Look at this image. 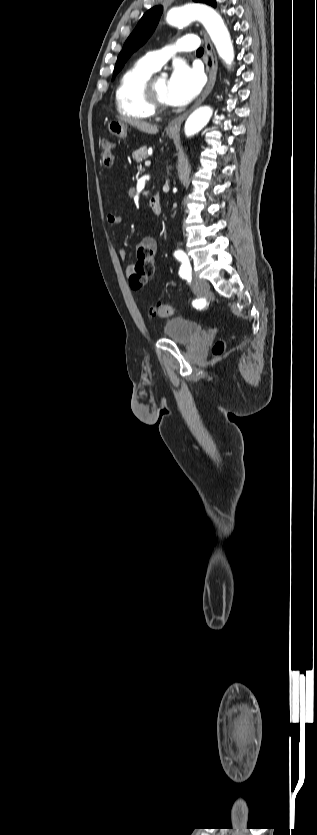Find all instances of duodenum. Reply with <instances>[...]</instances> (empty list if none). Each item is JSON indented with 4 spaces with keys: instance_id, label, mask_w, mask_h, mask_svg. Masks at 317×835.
Segmentation results:
<instances>
[{
    "instance_id": "duodenum-1",
    "label": "duodenum",
    "mask_w": 317,
    "mask_h": 835,
    "mask_svg": "<svg viewBox=\"0 0 317 835\" xmlns=\"http://www.w3.org/2000/svg\"><path fill=\"white\" fill-rule=\"evenodd\" d=\"M149 205L154 214L161 213V200L158 195H154L151 197Z\"/></svg>"
}]
</instances>
